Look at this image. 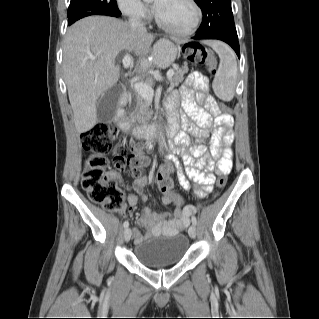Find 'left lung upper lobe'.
<instances>
[{
    "label": "left lung upper lobe",
    "instance_id": "obj_1",
    "mask_svg": "<svg viewBox=\"0 0 319 319\" xmlns=\"http://www.w3.org/2000/svg\"><path fill=\"white\" fill-rule=\"evenodd\" d=\"M201 8L203 21L197 35L222 33L237 36L231 0H194Z\"/></svg>",
    "mask_w": 319,
    "mask_h": 319
}]
</instances>
